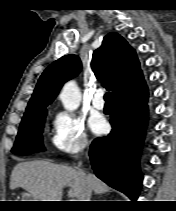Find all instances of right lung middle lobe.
Masks as SVG:
<instances>
[{
	"label": "right lung middle lobe",
	"instance_id": "dd1d6c3e",
	"mask_svg": "<svg viewBox=\"0 0 176 211\" xmlns=\"http://www.w3.org/2000/svg\"><path fill=\"white\" fill-rule=\"evenodd\" d=\"M46 114L47 111L44 110L22 119L12 153L26 155L45 150L42 131Z\"/></svg>",
	"mask_w": 176,
	"mask_h": 211
}]
</instances>
